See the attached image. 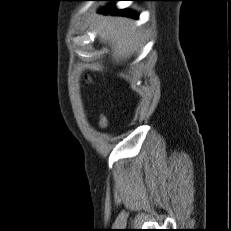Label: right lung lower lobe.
Wrapping results in <instances>:
<instances>
[{"label": "right lung lower lobe", "instance_id": "1", "mask_svg": "<svg viewBox=\"0 0 231 231\" xmlns=\"http://www.w3.org/2000/svg\"><path fill=\"white\" fill-rule=\"evenodd\" d=\"M95 1H119V0H95ZM101 12H103L104 14H121V15H128V16H132L137 18V15L135 13H131L127 10H122V11H116L114 9V5H109L107 7H105Z\"/></svg>", "mask_w": 231, "mask_h": 231}]
</instances>
